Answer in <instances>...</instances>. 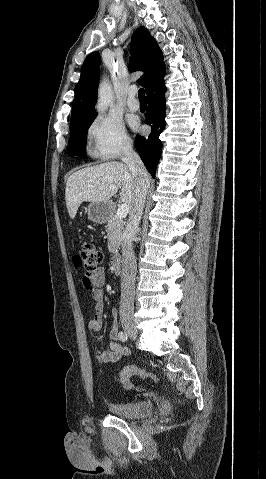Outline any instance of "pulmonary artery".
Returning a JSON list of instances; mask_svg holds the SVG:
<instances>
[{
	"label": "pulmonary artery",
	"instance_id": "obj_1",
	"mask_svg": "<svg viewBox=\"0 0 266 479\" xmlns=\"http://www.w3.org/2000/svg\"><path fill=\"white\" fill-rule=\"evenodd\" d=\"M127 106L130 111H137L140 108L139 101L135 98L136 91L134 89L128 90Z\"/></svg>",
	"mask_w": 266,
	"mask_h": 479
}]
</instances>
